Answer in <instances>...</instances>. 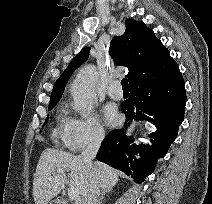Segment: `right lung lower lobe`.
Returning <instances> with one entry per match:
<instances>
[{"label":"right lung lower lobe","instance_id":"obj_1","mask_svg":"<svg viewBox=\"0 0 212 204\" xmlns=\"http://www.w3.org/2000/svg\"><path fill=\"white\" fill-rule=\"evenodd\" d=\"M185 84L178 66L151 74L130 86L129 99L121 105L126 115L123 128L111 131L103 140L97 160L116 168L141 183L165 156L184 119ZM133 119L152 121L157 131L150 134L153 146L131 144L125 127ZM140 152L141 159L135 155Z\"/></svg>","mask_w":212,"mask_h":204}]
</instances>
